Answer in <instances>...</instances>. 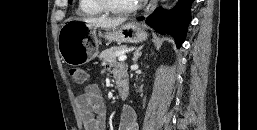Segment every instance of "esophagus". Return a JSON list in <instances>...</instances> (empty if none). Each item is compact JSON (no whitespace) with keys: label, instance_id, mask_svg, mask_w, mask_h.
I'll return each mask as SVG.
<instances>
[{"label":"esophagus","instance_id":"esophagus-1","mask_svg":"<svg viewBox=\"0 0 257 130\" xmlns=\"http://www.w3.org/2000/svg\"><path fill=\"white\" fill-rule=\"evenodd\" d=\"M156 5H157V0H151L145 9V15H149L156 8Z\"/></svg>","mask_w":257,"mask_h":130}]
</instances>
